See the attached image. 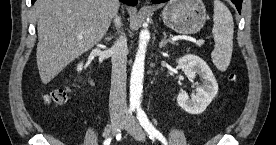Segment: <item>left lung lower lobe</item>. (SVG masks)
<instances>
[{
	"mask_svg": "<svg viewBox=\"0 0 276 145\" xmlns=\"http://www.w3.org/2000/svg\"><path fill=\"white\" fill-rule=\"evenodd\" d=\"M166 1L168 0H152L154 4L163 3ZM231 1L235 4L238 12L241 13L242 0H231Z\"/></svg>",
	"mask_w": 276,
	"mask_h": 145,
	"instance_id": "1",
	"label": "left lung lower lobe"
}]
</instances>
